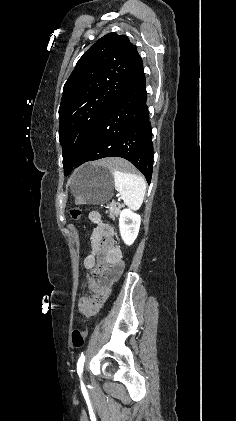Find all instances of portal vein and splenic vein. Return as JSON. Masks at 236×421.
Returning a JSON list of instances; mask_svg holds the SVG:
<instances>
[{
  "label": "portal vein and splenic vein",
  "mask_w": 236,
  "mask_h": 421,
  "mask_svg": "<svg viewBox=\"0 0 236 421\" xmlns=\"http://www.w3.org/2000/svg\"><path fill=\"white\" fill-rule=\"evenodd\" d=\"M115 197H116V198H119V197H120V194H119V193H116V194H115Z\"/></svg>",
  "instance_id": "obj_1"
}]
</instances>
